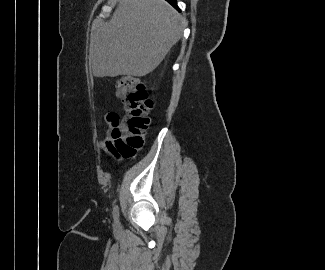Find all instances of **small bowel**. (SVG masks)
<instances>
[{
	"mask_svg": "<svg viewBox=\"0 0 325 270\" xmlns=\"http://www.w3.org/2000/svg\"><path fill=\"white\" fill-rule=\"evenodd\" d=\"M117 118H118V115L114 112H110L105 115L104 120L108 126L107 137L103 140H100L99 145L101 146V148L103 150L110 152L111 155L116 160H122L123 157L121 155H119V153L116 151V149L113 145L112 139H111L112 125H113L114 120H116Z\"/></svg>",
	"mask_w": 325,
	"mask_h": 270,
	"instance_id": "1",
	"label": "small bowel"
}]
</instances>
